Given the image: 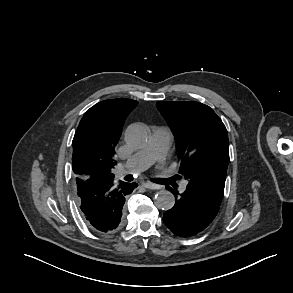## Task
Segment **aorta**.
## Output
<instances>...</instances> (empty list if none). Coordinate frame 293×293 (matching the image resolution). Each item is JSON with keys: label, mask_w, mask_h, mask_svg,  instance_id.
<instances>
[{"label": "aorta", "mask_w": 293, "mask_h": 293, "mask_svg": "<svg viewBox=\"0 0 293 293\" xmlns=\"http://www.w3.org/2000/svg\"><path fill=\"white\" fill-rule=\"evenodd\" d=\"M149 140V131L142 124H133L126 131V142L134 148H141ZM155 203L162 210H169L175 204L174 195L168 190H161L155 195Z\"/></svg>", "instance_id": "762f6f07"}]
</instances>
